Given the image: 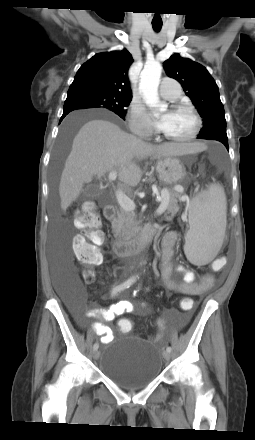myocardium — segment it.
I'll use <instances>...</instances> for the list:
<instances>
[{
  "label": "myocardium",
  "mask_w": 255,
  "mask_h": 440,
  "mask_svg": "<svg viewBox=\"0 0 255 440\" xmlns=\"http://www.w3.org/2000/svg\"><path fill=\"white\" fill-rule=\"evenodd\" d=\"M173 110H185V111L189 112L195 121V127H194L193 131L188 136L183 137V138H175V137L167 135L166 133H163V137L167 140L177 142V143H185V142H189V141H192L193 139H195L199 135L201 128H202V120H201L199 114L196 112V110L192 106H190L188 104H184V103L174 104Z\"/></svg>",
  "instance_id": "obj_1"
}]
</instances>
